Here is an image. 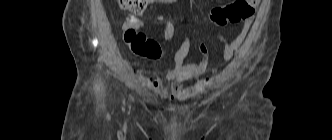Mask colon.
<instances>
[{"label": "colon", "mask_w": 332, "mask_h": 140, "mask_svg": "<svg viewBox=\"0 0 332 140\" xmlns=\"http://www.w3.org/2000/svg\"><path fill=\"white\" fill-rule=\"evenodd\" d=\"M150 2L151 0H118L120 8L131 13L122 26L124 41L135 54L157 59L161 55L160 46L139 31L142 24L136 17L147 8ZM259 2L260 0H235L226 5L214 7L210 10L208 17L216 26L240 23L254 15ZM179 29L176 22L169 21L164 26L162 36L167 40L172 39L178 34Z\"/></svg>", "instance_id": "obj_1"}]
</instances>
